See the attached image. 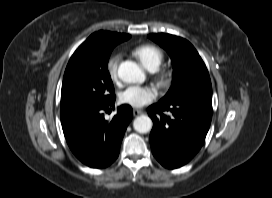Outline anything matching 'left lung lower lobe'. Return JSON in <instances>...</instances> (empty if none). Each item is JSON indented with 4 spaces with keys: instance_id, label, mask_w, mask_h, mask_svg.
Masks as SVG:
<instances>
[{
    "instance_id": "obj_1",
    "label": "left lung lower lobe",
    "mask_w": 272,
    "mask_h": 198,
    "mask_svg": "<svg viewBox=\"0 0 272 198\" xmlns=\"http://www.w3.org/2000/svg\"><path fill=\"white\" fill-rule=\"evenodd\" d=\"M170 112L167 116L164 112ZM153 120L150 145L155 158L166 168L185 165L200 150L212 118V101L179 99L158 102L148 108Z\"/></svg>"
}]
</instances>
